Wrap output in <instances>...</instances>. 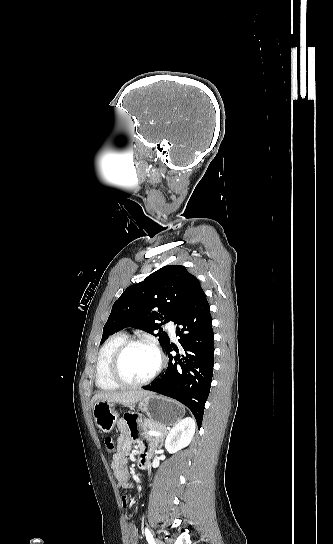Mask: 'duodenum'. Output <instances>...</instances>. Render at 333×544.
Listing matches in <instances>:
<instances>
[{"label": "duodenum", "mask_w": 333, "mask_h": 544, "mask_svg": "<svg viewBox=\"0 0 333 544\" xmlns=\"http://www.w3.org/2000/svg\"><path fill=\"white\" fill-rule=\"evenodd\" d=\"M149 463V456L145 452H140L139 458H138V467L140 469H145L148 466Z\"/></svg>", "instance_id": "obj_1"}]
</instances>
